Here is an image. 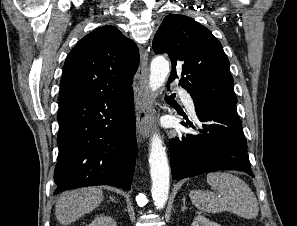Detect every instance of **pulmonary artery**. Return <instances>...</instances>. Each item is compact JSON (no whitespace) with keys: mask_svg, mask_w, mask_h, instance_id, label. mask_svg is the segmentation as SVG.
<instances>
[{"mask_svg":"<svg viewBox=\"0 0 297 226\" xmlns=\"http://www.w3.org/2000/svg\"><path fill=\"white\" fill-rule=\"evenodd\" d=\"M176 92H177L178 97L182 98V100L186 104L190 114L195 117L196 114H195L193 100L189 96L188 92L182 88L177 89Z\"/></svg>","mask_w":297,"mask_h":226,"instance_id":"obj_1","label":"pulmonary artery"}]
</instances>
